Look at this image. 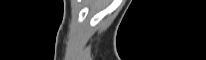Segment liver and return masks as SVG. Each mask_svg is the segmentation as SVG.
<instances>
[{"label": "liver", "mask_w": 206, "mask_h": 60, "mask_svg": "<svg viewBox=\"0 0 206 60\" xmlns=\"http://www.w3.org/2000/svg\"><path fill=\"white\" fill-rule=\"evenodd\" d=\"M103 4H105V2L102 1V0H92V1H90L91 8H98V7L102 6Z\"/></svg>", "instance_id": "1"}]
</instances>
